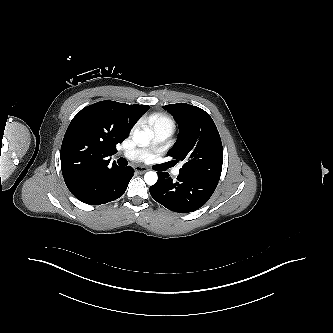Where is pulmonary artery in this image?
Instances as JSON below:
<instances>
[{
	"label": "pulmonary artery",
	"mask_w": 333,
	"mask_h": 333,
	"mask_svg": "<svg viewBox=\"0 0 333 333\" xmlns=\"http://www.w3.org/2000/svg\"><path fill=\"white\" fill-rule=\"evenodd\" d=\"M154 136L152 142V148H156L161 145L173 132V125L163 124L155 127L153 129ZM148 155L147 149H131L126 150L122 153V156L125 159L132 161H139L144 159ZM180 172V168H175L173 170L174 175H178Z\"/></svg>",
	"instance_id": "pulmonary-artery-1"
}]
</instances>
